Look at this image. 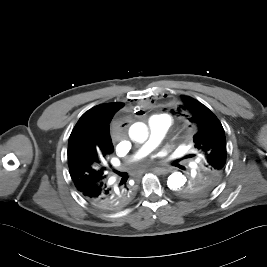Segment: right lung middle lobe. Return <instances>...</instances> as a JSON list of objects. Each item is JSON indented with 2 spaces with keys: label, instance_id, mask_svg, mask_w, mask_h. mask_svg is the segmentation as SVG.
I'll return each instance as SVG.
<instances>
[{
  "label": "right lung middle lobe",
  "instance_id": "right-lung-middle-lobe-1",
  "mask_svg": "<svg viewBox=\"0 0 267 267\" xmlns=\"http://www.w3.org/2000/svg\"><path fill=\"white\" fill-rule=\"evenodd\" d=\"M107 157L97 158L88 154L81 160H71L69 170L75 185L82 186L106 178L108 169L104 163Z\"/></svg>",
  "mask_w": 267,
  "mask_h": 267
}]
</instances>
